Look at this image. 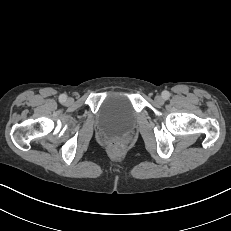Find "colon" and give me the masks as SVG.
Wrapping results in <instances>:
<instances>
[{
  "mask_svg": "<svg viewBox=\"0 0 231 231\" xmlns=\"http://www.w3.org/2000/svg\"><path fill=\"white\" fill-rule=\"evenodd\" d=\"M110 149L112 152H120L124 149V143L120 140H113L110 143Z\"/></svg>",
  "mask_w": 231,
  "mask_h": 231,
  "instance_id": "1",
  "label": "colon"
}]
</instances>
